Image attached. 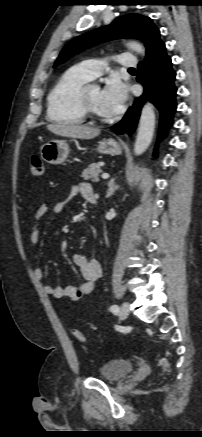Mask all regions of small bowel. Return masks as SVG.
Instances as JSON below:
<instances>
[{
  "mask_svg": "<svg viewBox=\"0 0 202 437\" xmlns=\"http://www.w3.org/2000/svg\"><path fill=\"white\" fill-rule=\"evenodd\" d=\"M77 194H80L82 197L88 200L90 196L94 195V191L89 184L83 183L75 186L72 189L68 199L63 201H55L53 203L42 204L38 208L35 214L34 222L32 225V232L30 235V241L32 245H37L39 243L40 223L42 219L45 217V215L49 211H51L54 214H60L67 206L70 199ZM73 262L79 268V271L83 278V282L77 286H65V287H61V286L53 287L49 283H43L42 289L46 294L53 295L55 298L58 299L67 298L72 301H77L83 298L84 296H87L90 293H92L95 282L100 278L102 274V268L100 262L97 259H90L84 254H80V253L73 255ZM34 276L39 281L43 279V271L41 270L40 267H36L34 269Z\"/></svg>",
  "mask_w": 202,
  "mask_h": 437,
  "instance_id": "small-bowel-1",
  "label": "small bowel"
}]
</instances>
